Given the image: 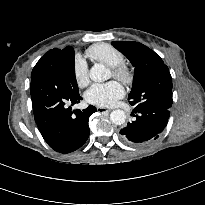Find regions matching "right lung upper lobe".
Listing matches in <instances>:
<instances>
[{
    "mask_svg": "<svg viewBox=\"0 0 205 205\" xmlns=\"http://www.w3.org/2000/svg\"><path fill=\"white\" fill-rule=\"evenodd\" d=\"M66 48H67V47H66ZM66 48H65V49H66ZM65 49H63V50H58L57 48L51 49V50H49L47 53L44 54V56L41 58L40 61L45 60V61L52 62V61H54L55 58H56L62 51H64Z\"/></svg>",
    "mask_w": 205,
    "mask_h": 205,
    "instance_id": "1",
    "label": "right lung upper lobe"
}]
</instances>
